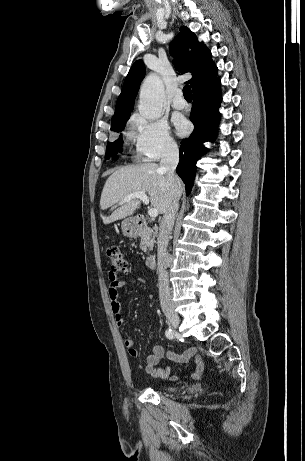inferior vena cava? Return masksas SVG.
Instances as JSON below:
<instances>
[{
  "instance_id": "1",
  "label": "inferior vena cava",
  "mask_w": 305,
  "mask_h": 461,
  "mask_svg": "<svg viewBox=\"0 0 305 461\" xmlns=\"http://www.w3.org/2000/svg\"><path fill=\"white\" fill-rule=\"evenodd\" d=\"M179 162V148L176 143H168L163 150L159 169L165 173L170 185L175 182V169ZM180 194L173 193L170 204L164 212L160 223L159 235L157 238V272L159 281V299L163 310L172 307V296L169 287L168 273L165 268L168 259L167 247L169 236L173 229L175 214L179 209Z\"/></svg>"
}]
</instances>
